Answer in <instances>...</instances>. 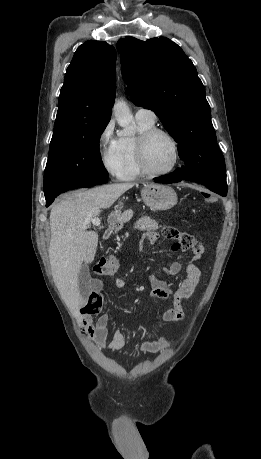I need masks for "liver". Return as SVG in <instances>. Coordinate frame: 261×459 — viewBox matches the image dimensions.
Masks as SVG:
<instances>
[{
    "label": "liver",
    "mask_w": 261,
    "mask_h": 459,
    "mask_svg": "<svg viewBox=\"0 0 261 459\" xmlns=\"http://www.w3.org/2000/svg\"><path fill=\"white\" fill-rule=\"evenodd\" d=\"M133 186L132 183H115L73 191L51 209L48 252L52 274L63 301L77 319L85 302L80 294L78 275L83 262L89 264L94 260L98 245V234L88 231L91 219L98 217L101 209L112 206ZM132 214L128 210L119 219L127 221Z\"/></svg>",
    "instance_id": "6515ba94"
}]
</instances>
